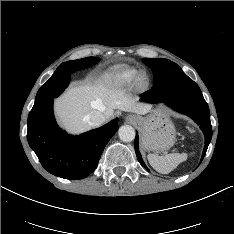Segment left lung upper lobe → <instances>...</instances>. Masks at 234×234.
I'll list each match as a JSON object with an SVG mask.
<instances>
[{
	"instance_id": "obj_1",
	"label": "left lung upper lobe",
	"mask_w": 234,
	"mask_h": 234,
	"mask_svg": "<svg viewBox=\"0 0 234 234\" xmlns=\"http://www.w3.org/2000/svg\"><path fill=\"white\" fill-rule=\"evenodd\" d=\"M143 63L152 68L154 74V87H160L169 81L187 76L174 62L162 58H143Z\"/></svg>"
}]
</instances>
